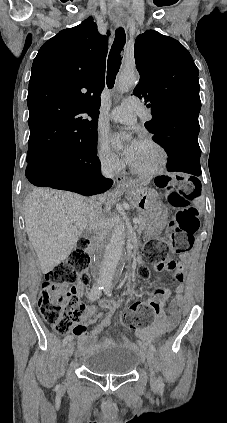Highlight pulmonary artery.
<instances>
[{
	"instance_id": "obj_1",
	"label": "pulmonary artery",
	"mask_w": 227,
	"mask_h": 423,
	"mask_svg": "<svg viewBox=\"0 0 227 423\" xmlns=\"http://www.w3.org/2000/svg\"><path fill=\"white\" fill-rule=\"evenodd\" d=\"M137 104L133 100H126L118 107L114 108L110 114L109 119L125 124L132 125L136 120H152L153 112L152 111H136Z\"/></svg>"
}]
</instances>
